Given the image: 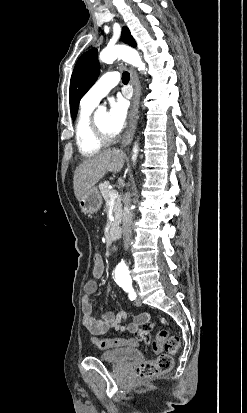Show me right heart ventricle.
Wrapping results in <instances>:
<instances>
[{
  "mask_svg": "<svg viewBox=\"0 0 247 413\" xmlns=\"http://www.w3.org/2000/svg\"><path fill=\"white\" fill-rule=\"evenodd\" d=\"M91 109L92 107H87L82 111L76 124V143L80 154L84 157H93L103 148V144L94 135L93 122L90 118Z\"/></svg>",
  "mask_w": 247,
  "mask_h": 413,
  "instance_id": "right-heart-ventricle-1",
  "label": "right heart ventricle"
}]
</instances>
